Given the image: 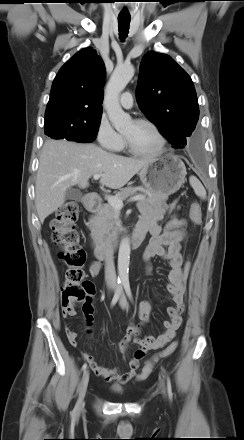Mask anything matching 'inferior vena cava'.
<instances>
[{
    "instance_id": "1",
    "label": "inferior vena cava",
    "mask_w": 244,
    "mask_h": 440,
    "mask_svg": "<svg viewBox=\"0 0 244 440\" xmlns=\"http://www.w3.org/2000/svg\"><path fill=\"white\" fill-rule=\"evenodd\" d=\"M105 278L107 287L115 289L117 286V278L114 267L113 252L110 247H107L105 250Z\"/></svg>"
}]
</instances>
